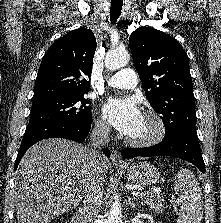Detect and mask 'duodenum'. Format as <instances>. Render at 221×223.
I'll list each match as a JSON object with an SVG mask.
<instances>
[{
	"label": "duodenum",
	"mask_w": 221,
	"mask_h": 223,
	"mask_svg": "<svg viewBox=\"0 0 221 223\" xmlns=\"http://www.w3.org/2000/svg\"><path fill=\"white\" fill-rule=\"evenodd\" d=\"M72 223H85L83 207H79L74 214Z\"/></svg>",
	"instance_id": "410a0bca"
}]
</instances>
